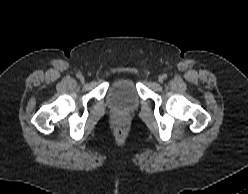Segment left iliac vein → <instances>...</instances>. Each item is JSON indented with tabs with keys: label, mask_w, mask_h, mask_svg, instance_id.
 Here are the masks:
<instances>
[{
	"label": "left iliac vein",
	"mask_w": 248,
	"mask_h": 194,
	"mask_svg": "<svg viewBox=\"0 0 248 194\" xmlns=\"http://www.w3.org/2000/svg\"><path fill=\"white\" fill-rule=\"evenodd\" d=\"M158 80H159V82H163V77L160 76V77L158 78Z\"/></svg>",
	"instance_id": "left-iliac-vein-1"
}]
</instances>
